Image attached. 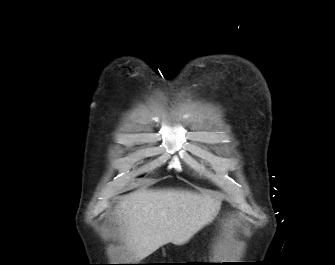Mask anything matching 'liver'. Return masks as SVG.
Listing matches in <instances>:
<instances>
[{
  "mask_svg": "<svg viewBox=\"0 0 335 265\" xmlns=\"http://www.w3.org/2000/svg\"><path fill=\"white\" fill-rule=\"evenodd\" d=\"M220 201L184 189H141L120 202L118 215L126 228L125 242L136 260L160 247L182 245L211 222Z\"/></svg>",
  "mask_w": 335,
  "mask_h": 265,
  "instance_id": "obj_1",
  "label": "liver"
}]
</instances>
